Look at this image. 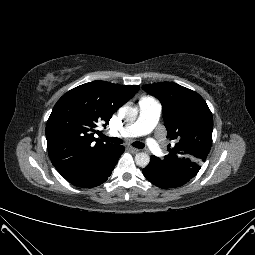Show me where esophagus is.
Segmentation results:
<instances>
[{
    "mask_svg": "<svg viewBox=\"0 0 255 255\" xmlns=\"http://www.w3.org/2000/svg\"><path fill=\"white\" fill-rule=\"evenodd\" d=\"M131 153H138L140 150L134 147H128L127 148Z\"/></svg>",
    "mask_w": 255,
    "mask_h": 255,
    "instance_id": "obj_1",
    "label": "esophagus"
}]
</instances>
